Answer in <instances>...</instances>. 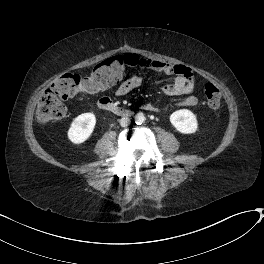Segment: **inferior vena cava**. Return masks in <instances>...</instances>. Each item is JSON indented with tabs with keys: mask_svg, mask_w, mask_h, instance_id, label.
Masks as SVG:
<instances>
[{
	"mask_svg": "<svg viewBox=\"0 0 264 264\" xmlns=\"http://www.w3.org/2000/svg\"><path fill=\"white\" fill-rule=\"evenodd\" d=\"M122 127H127L130 124V119L128 117H123L119 120Z\"/></svg>",
	"mask_w": 264,
	"mask_h": 264,
	"instance_id": "obj_1",
	"label": "inferior vena cava"
}]
</instances>
